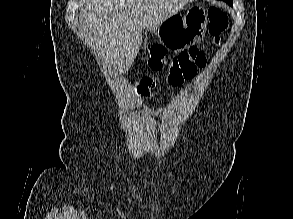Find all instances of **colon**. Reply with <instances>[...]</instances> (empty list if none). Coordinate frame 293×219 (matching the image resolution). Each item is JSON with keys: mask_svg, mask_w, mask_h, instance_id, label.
Instances as JSON below:
<instances>
[{"mask_svg": "<svg viewBox=\"0 0 293 219\" xmlns=\"http://www.w3.org/2000/svg\"><path fill=\"white\" fill-rule=\"evenodd\" d=\"M209 32L216 43L229 26L228 16L219 7L208 10ZM148 64L153 70L166 69L168 82L177 86L192 78L205 65L203 53L196 47L183 50L173 58H168L163 47L151 45L147 48Z\"/></svg>", "mask_w": 293, "mask_h": 219, "instance_id": "colon-1", "label": "colon"}]
</instances>
